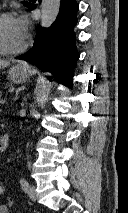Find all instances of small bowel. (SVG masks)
<instances>
[{
    "label": "small bowel",
    "mask_w": 128,
    "mask_h": 213,
    "mask_svg": "<svg viewBox=\"0 0 128 213\" xmlns=\"http://www.w3.org/2000/svg\"><path fill=\"white\" fill-rule=\"evenodd\" d=\"M0 213H9L6 205H0Z\"/></svg>",
    "instance_id": "1"
}]
</instances>
